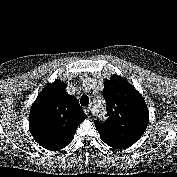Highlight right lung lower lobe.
<instances>
[{"mask_svg": "<svg viewBox=\"0 0 177 177\" xmlns=\"http://www.w3.org/2000/svg\"><path fill=\"white\" fill-rule=\"evenodd\" d=\"M47 150H50V151H55V149H51V148H47Z\"/></svg>", "mask_w": 177, "mask_h": 177, "instance_id": "obj_1", "label": "right lung lower lobe"}]
</instances>
